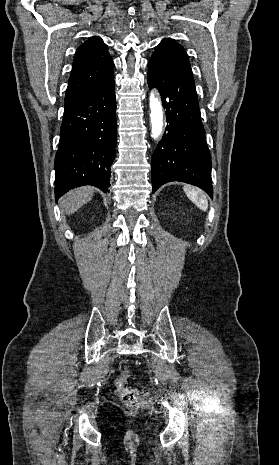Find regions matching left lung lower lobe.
<instances>
[{
  "label": "left lung lower lobe",
  "mask_w": 279,
  "mask_h": 465,
  "mask_svg": "<svg viewBox=\"0 0 279 465\" xmlns=\"http://www.w3.org/2000/svg\"><path fill=\"white\" fill-rule=\"evenodd\" d=\"M147 81L162 95L168 123L151 159L152 192L167 182L180 181L198 186L212 197L211 155L191 69L151 57Z\"/></svg>",
  "instance_id": "0a47b994"
}]
</instances>
